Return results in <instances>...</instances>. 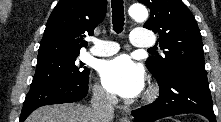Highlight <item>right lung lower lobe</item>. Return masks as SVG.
I'll list each match as a JSON object with an SVG mask.
<instances>
[{
	"label": "right lung lower lobe",
	"instance_id": "1",
	"mask_svg": "<svg viewBox=\"0 0 221 122\" xmlns=\"http://www.w3.org/2000/svg\"><path fill=\"white\" fill-rule=\"evenodd\" d=\"M88 93V78L82 82H61L31 87L26 95L19 122L44 105L76 102Z\"/></svg>",
	"mask_w": 221,
	"mask_h": 122
}]
</instances>
